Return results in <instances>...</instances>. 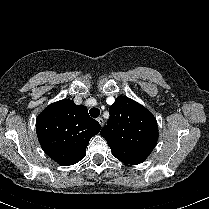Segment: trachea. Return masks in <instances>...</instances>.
I'll use <instances>...</instances> for the list:
<instances>
[{
  "mask_svg": "<svg viewBox=\"0 0 209 209\" xmlns=\"http://www.w3.org/2000/svg\"><path fill=\"white\" fill-rule=\"evenodd\" d=\"M89 113L93 118H97L100 115V110L94 107L89 110Z\"/></svg>",
  "mask_w": 209,
  "mask_h": 209,
  "instance_id": "obj_1",
  "label": "trachea"
}]
</instances>
